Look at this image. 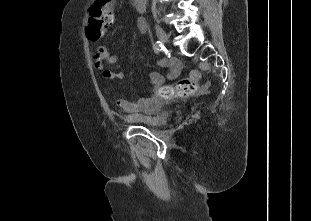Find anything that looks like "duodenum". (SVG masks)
I'll use <instances>...</instances> for the list:
<instances>
[{
  "label": "duodenum",
  "mask_w": 311,
  "mask_h": 221,
  "mask_svg": "<svg viewBox=\"0 0 311 221\" xmlns=\"http://www.w3.org/2000/svg\"><path fill=\"white\" fill-rule=\"evenodd\" d=\"M147 3L148 0H134L135 9L141 11L146 7ZM139 25H141V23Z\"/></svg>",
  "instance_id": "1"
}]
</instances>
